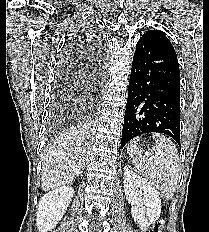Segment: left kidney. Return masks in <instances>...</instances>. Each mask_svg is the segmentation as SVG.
<instances>
[{
    "label": "left kidney",
    "mask_w": 209,
    "mask_h": 232,
    "mask_svg": "<svg viewBox=\"0 0 209 232\" xmlns=\"http://www.w3.org/2000/svg\"><path fill=\"white\" fill-rule=\"evenodd\" d=\"M124 193L131 204L132 218L140 227L147 229L159 218L161 199L158 191L128 166L124 168Z\"/></svg>",
    "instance_id": "obj_1"
}]
</instances>
